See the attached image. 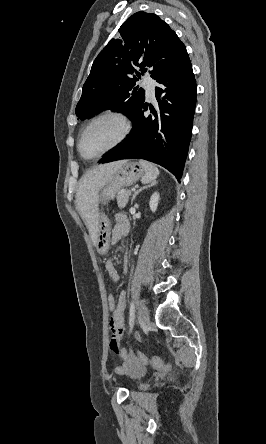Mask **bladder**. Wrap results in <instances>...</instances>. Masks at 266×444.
Listing matches in <instances>:
<instances>
[{
    "label": "bladder",
    "instance_id": "bladder-1",
    "mask_svg": "<svg viewBox=\"0 0 266 444\" xmlns=\"http://www.w3.org/2000/svg\"><path fill=\"white\" fill-rule=\"evenodd\" d=\"M149 388V385L148 384H140V385H138V389L139 390H142V391H145V390H147Z\"/></svg>",
    "mask_w": 266,
    "mask_h": 444
}]
</instances>
